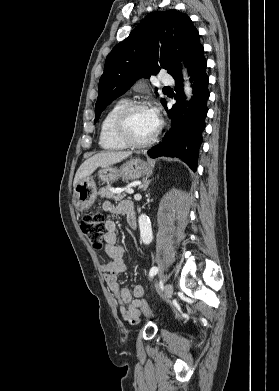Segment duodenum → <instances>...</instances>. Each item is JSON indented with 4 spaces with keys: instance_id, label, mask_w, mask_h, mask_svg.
<instances>
[{
    "instance_id": "obj_1",
    "label": "duodenum",
    "mask_w": 279,
    "mask_h": 391,
    "mask_svg": "<svg viewBox=\"0 0 279 391\" xmlns=\"http://www.w3.org/2000/svg\"><path fill=\"white\" fill-rule=\"evenodd\" d=\"M125 213H126L127 220H128L129 225L131 226V228L137 229L138 223H137V219H136L135 212L133 209V205L131 207H129L128 209H126Z\"/></svg>"
}]
</instances>
